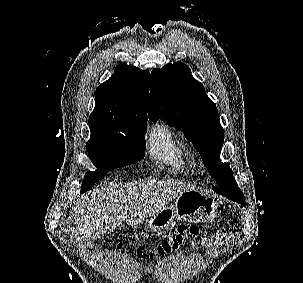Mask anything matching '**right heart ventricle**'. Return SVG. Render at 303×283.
<instances>
[{
	"label": "right heart ventricle",
	"instance_id": "obj_1",
	"mask_svg": "<svg viewBox=\"0 0 303 283\" xmlns=\"http://www.w3.org/2000/svg\"><path fill=\"white\" fill-rule=\"evenodd\" d=\"M149 151L154 160L175 171L188 166L187 151L176 133L166 124H160L149 134Z\"/></svg>",
	"mask_w": 303,
	"mask_h": 283
}]
</instances>
